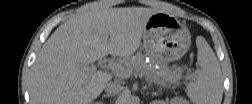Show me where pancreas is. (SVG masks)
Wrapping results in <instances>:
<instances>
[{
  "mask_svg": "<svg viewBox=\"0 0 252 104\" xmlns=\"http://www.w3.org/2000/svg\"><path fill=\"white\" fill-rule=\"evenodd\" d=\"M122 67L130 71L133 75H144L149 81L165 87H170L171 84L178 83L180 79L187 78L179 69L172 70L162 64L160 69L157 70L155 69V62L145 63L144 59L133 65H123Z\"/></svg>",
  "mask_w": 252,
  "mask_h": 104,
  "instance_id": "obj_1",
  "label": "pancreas"
}]
</instances>
